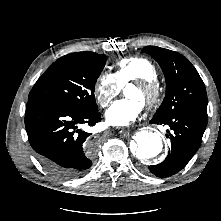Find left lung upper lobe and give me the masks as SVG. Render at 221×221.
<instances>
[{
    "mask_svg": "<svg viewBox=\"0 0 221 221\" xmlns=\"http://www.w3.org/2000/svg\"><path fill=\"white\" fill-rule=\"evenodd\" d=\"M142 52L151 55L165 75L166 95L153 118L166 119L183 112L207 117L205 85L194 66L181 54L168 49L146 46Z\"/></svg>",
    "mask_w": 221,
    "mask_h": 221,
    "instance_id": "5c2ea615",
    "label": "left lung upper lobe"
}]
</instances>
